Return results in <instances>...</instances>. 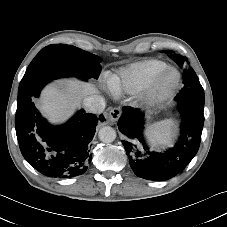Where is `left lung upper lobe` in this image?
I'll use <instances>...</instances> for the list:
<instances>
[{
	"label": "left lung upper lobe",
	"mask_w": 227,
	"mask_h": 227,
	"mask_svg": "<svg viewBox=\"0 0 227 227\" xmlns=\"http://www.w3.org/2000/svg\"><path fill=\"white\" fill-rule=\"evenodd\" d=\"M170 54L169 57L173 59L178 66L184 67L183 83L184 87L180 90L177 98L198 97L204 99V90L199 82V79L192 68L187 66V58L178 54H174L173 51H164Z\"/></svg>",
	"instance_id": "obj_1"
}]
</instances>
